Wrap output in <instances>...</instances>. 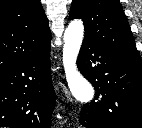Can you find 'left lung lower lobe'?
Listing matches in <instances>:
<instances>
[{
    "label": "left lung lower lobe",
    "mask_w": 142,
    "mask_h": 128,
    "mask_svg": "<svg viewBox=\"0 0 142 128\" xmlns=\"http://www.w3.org/2000/svg\"><path fill=\"white\" fill-rule=\"evenodd\" d=\"M77 66L94 86L95 98L83 106L85 128H142V64L119 57L84 39Z\"/></svg>",
    "instance_id": "left-lung-lower-lobe-1"
}]
</instances>
